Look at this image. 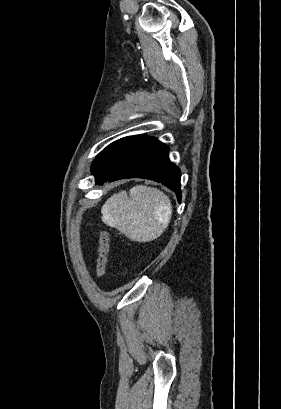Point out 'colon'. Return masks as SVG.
I'll return each instance as SVG.
<instances>
[{
	"instance_id": "obj_1",
	"label": "colon",
	"mask_w": 281,
	"mask_h": 409,
	"mask_svg": "<svg viewBox=\"0 0 281 409\" xmlns=\"http://www.w3.org/2000/svg\"><path fill=\"white\" fill-rule=\"evenodd\" d=\"M108 254H109L108 233L106 230H101L98 233V254L96 262V275L99 280L102 279L105 273L108 261Z\"/></svg>"
}]
</instances>
